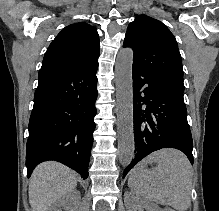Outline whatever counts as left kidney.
I'll use <instances>...</instances> for the list:
<instances>
[{"mask_svg": "<svg viewBox=\"0 0 219 211\" xmlns=\"http://www.w3.org/2000/svg\"><path fill=\"white\" fill-rule=\"evenodd\" d=\"M161 211L160 207L156 203H149V201H143V199H138L135 209H130V211Z\"/></svg>", "mask_w": 219, "mask_h": 211, "instance_id": "obj_1", "label": "left kidney"}]
</instances>
